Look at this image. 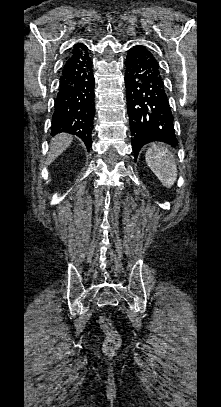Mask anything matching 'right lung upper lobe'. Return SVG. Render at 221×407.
Here are the masks:
<instances>
[{
    "mask_svg": "<svg viewBox=\"0 0 221 407\" xmlns=\"http://www.w3.org/2000/svg\"><path fill=\"white\" fill-rule=\"evenodd\" d=\"M81 45H82V44H80V43L75 44L74 47H73V49L78 48V47H80Z\"/></svg>",
    "mask_w": 221,
    "mask_h": 407,
    "instance_id": "cb5924a9",
    "label": "right lung upper lobe"
}]
</instances>
